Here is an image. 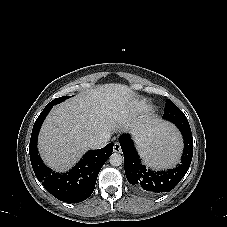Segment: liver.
I'll use <instances>...</instances> for the list:
<instances>
[{
    "label": "liver",
    "mask_w": 227,
    "mask_h": 227,
    "mask_svg": "<svg viewBox=\"0 0 227 227\" xmlns=\"http://www.w3.org/2000/svg\"><path fill=\"white\" fill-rule=\"evenodd\" d=\"M135 93L127 85H98L54 107L39 135L44 162L56 171L68 170L88 149L90 138L118 129L130 131L139 119Z\"/></svg>",
    "instance_id": "obj_1"
}]
</instances>
